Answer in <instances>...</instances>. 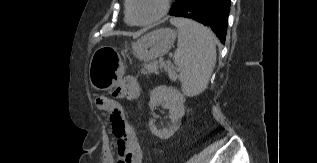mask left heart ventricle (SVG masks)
<instances>
[{"instance_id":"1","label":"left heart ventricle","mask_w":317,"mask_h":163,"mask_svg":"<svg viewBox=\"0 0 317 163\" xmlns=\"http://www.w3.org/2000/svg\"><path fill=\"white\" fill-rule=\"evenodd\" d=\"M162 0H132V14L139 21L155 17L161 10Z\"/></svg>"}]
</instances>
